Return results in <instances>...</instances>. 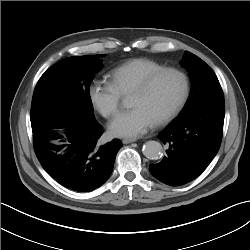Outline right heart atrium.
Here are the masks:
<instances>
[{
	"label": "right heart atrium",
	"mask_w": 250,
	"mask_h": 250,
	"mask_svg": "<svg viewBox=\"0 0 250 250\" xmlns=\"http://www.w3.org/2000/svg\"><path fill=\"white\" fill-rule=\"evenodd\" d=\"M88 98L93 108L105 118L114 117L120 109L121 94L107 80H94L88 87Z\"/></svg>",
	"instance_id": "d8ad5b80"
}]
</instances>
